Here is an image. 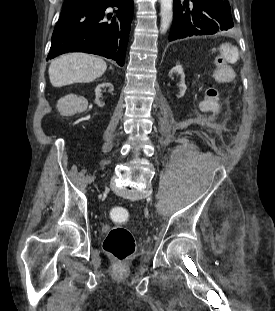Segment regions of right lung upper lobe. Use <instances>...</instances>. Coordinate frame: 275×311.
I'll list each match as a JSON object with an SVG mask.
<instances>
[{
  "label": "right lung upper lobe",
  "mask_w": 275,
  "mask_h": 311,
  "mask_svg": "<svg viewBox=\"0 0 275 311\" xmlns=\"http://www.w3.org/2000/svg\"><path fill=\"white\" fill-rule=\"evenodd\" d=\"M79 1H82V0H65L64 3H67V4H73V3H76V2H79Z\"/></svg>",
  "instance_id": "1"
}]
</instances>
